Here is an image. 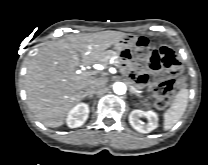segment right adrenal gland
I'll return each mask as SVG.
<instances>
[{
	"label": "right adrenal gland",
	"mask_w": 208,
	"mask_h": 165,
	"mask_svg": "<svg viewBox=\"0 0 208 165\" xmlns=\"http://www.w3.org/2000/svg\"><path fill=\"white\" fill-rule=\"evenodd\" d=\"M93 96H94L93 94H91V93H87V92H86V93L84 94L83 98H86V97H87V98L92 99V98H93Z\"/></svg>",
	"instance_id": "right-adrenal-gland-1"
}]
</instances>
